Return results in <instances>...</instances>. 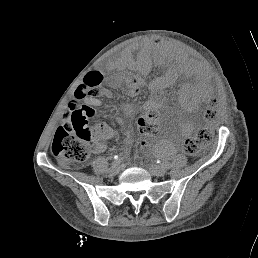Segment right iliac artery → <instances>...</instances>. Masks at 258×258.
Wrapping results in <instances>:
<instances>
[{
	"label": "right iliac artery",
	"mask_w": 258,
	"mask_h": 258,
	"mask_svg": "<svg viewBox=\"0 0 258 258\" xmlns=\"http://www.w3.org/2000/svg\"><path fill=\"white\" fill-rule=\"evenodd\" d=\"M114 159H115V160H118V157H117V156H115V157H114Z\"/></svg>",
	"instance_id": "obj_1"
}]
</instances>
